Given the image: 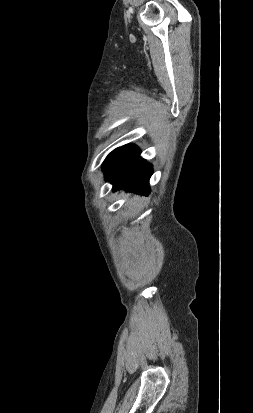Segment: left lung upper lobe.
<instances>
[{
    "label": "left lung upper lobe",
    "mask_w": 253,
    "mask_h": 413,
    "mask_svg": "<svg viewBox=\"0 0 253 413\" xmlns=\"http://www.w3.org/2000/svg\"><path fill=\"white\" fill-rule=\"evenodd\" d=\"M117 149H118V148H117ZM117 149H115L114 151H112V152L107 156V158L105 159L103 165H104V164L109 160V158L117 151Z\"/></svg>",
    "instance_id": "obj_1"
}]
</instances>
